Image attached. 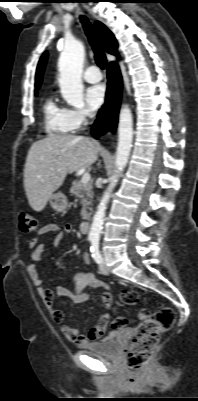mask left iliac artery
<instances>
[{"label":"left iliac artery","instance_id":"1","mask_svg":"<svg viewBox=\"0 0 198 401\" xmlns=\"http://www.w3.org/2000/svg\"><path fill=\"white\" fill-rule=\"evenodd\" d=\"M91 253H92V257L94 258V260L96 261V263H101L102 262V257L99 251V240L98 239H94L92 240V246L90 248Z\"/></svg>","mask_w":198,"mask_h":401}]
</instances>
